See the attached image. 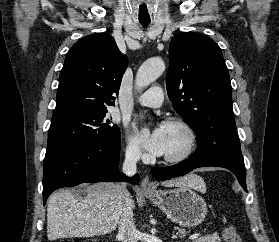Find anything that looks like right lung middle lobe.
Wrapping results in <instances>:
<instances>
[{"label": "right lung middle lobe", "instance_id": "obj_1", "mask_svg": "<svg viewBox=\"0 0 279 242\" xmlns=\"http://www.w3.org/2000/svg\"><path fill=\"white\" fill-rule=\"evenodd\" d=\"M107 110L78 109L52 116L46 155L120 139V130L105 118Z\"/></svg>", "mask_w": 279, "mask_h": 242}]
</instances>
